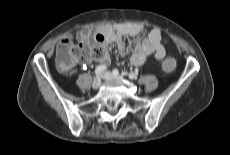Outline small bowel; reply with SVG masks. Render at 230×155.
I'll list each match as a JSON object with an SVG mask.
<instances>
[{
  "mask_svg": "<svg viewBox=\"0 0 230 155\" xmlns=\"http://www.w3.org/2000/svg\"><path fill=\"white\" fill-rule=\"evenodd\" d=\"M143 33L144 27L139 24L104 25L79 31L77 40L80 43L102 45L105 49L104 55L95 61L105 65L110 62L107 47L111 43H116L120 52L124 53L123 38L126 36L139 37ZM151 55L157 60H161L166 56V49L162 43V35L157 28L152 29L146 38L136 44L131 56V63L135 66H141Z\"/></svg>",
  "mask_w": 230,
  "mask_h": 155,
  "instance_id": "small-bowel-1",
  "label": "small bowel"
}]
</instances>
